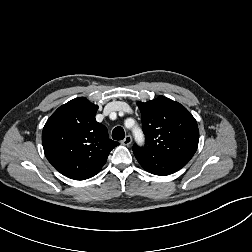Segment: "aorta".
Returning <instances> with one entry per match:
<instances>
[{"label": "aorta", "instance_id": "1", "mask_svg": "<svg viewBox=\"0 0 252 252\" xmlns=\"http://www.w3.org/2000/svg\"><path fill=\"white\" fill-rule=\"evenodd\" d=\"M133 135L138 142H141L143 140V133L138 127L133 128Z\"/></svg>", "mask_w": 252, "mask_h": 252}]
</instances>
